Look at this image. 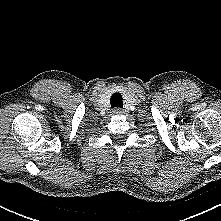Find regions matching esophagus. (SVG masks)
Returning <instances> with one entry per match:
<instances>
[{"label":"esophagus","instance_id":"esophagus-1","mask_svg":"<svg viewBox=\"0 0 221 221\" xmlns=\"http://www.w3.org/2000/svg\"><path fill=\"white\" fill-rule=\"evenodd\" d=\"M123 113V111L120 109V108H116L115 110H114V114H119V115H121Z\"/></svg>","mask_w":221,"mask_h":221}]
</instances>
